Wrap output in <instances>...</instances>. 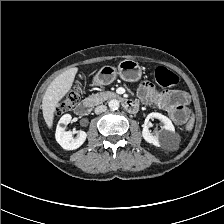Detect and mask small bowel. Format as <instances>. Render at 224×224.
Returning a JSON list of instances; mask_svg holds the SVG:
<instances>
[{
  "label": "small bowel",
  "instance_id": "1",
  "mask_svg": "<svg viewBox=\"0 0 224 224\" xmlns=\"http://www.w3.org/2000/svg\"><path fill=\"white\" fill-rule=\"evenodd\" d=\"M138 97L143 103L155 105L166 111L175 123L182 124L186 121L184 117H181L186 109L185 106L190 101L186 92L159 90L151 84L144 83L138 89Z\"/></svg>",
  "mask_w": 224,
  "mask_h": 224
}]
</instances>
